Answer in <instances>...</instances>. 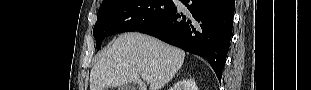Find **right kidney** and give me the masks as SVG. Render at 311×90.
Wrapping results in <instances>:
<instances>
[{
  "label": "right kidney",
  "mask_w": 311,
  "mask_h": 90,
  "mask_svg": "<svg viewBox=\"0 0 311 90\" xmlns=\"http://www.w3.org/2000/svg\"><path fill=\"white\" fill-rule=\"evenodd\" d=\"M176 90H198L193 79L183 80L176 85Z\"/></svg>",
  "instance_id": "ca27d5eb"
}]
</instances>
